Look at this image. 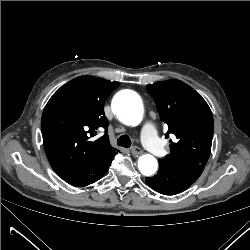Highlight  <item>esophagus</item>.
<instances>
[{
  "label": "esophagus",
  "instance_id": "esophagus-1",
  "mask_svg": "<svg viewBox=\"0 0 250 250\" xmlns=\"http://www.w3.org/2000/svg\"><path fill=\"white\" fill-rule=\"evenodd\" d=\"M131 153L135 156H139L142 154V150L141 148L137 147V146H134L132 149H131Z\"/></svg>",
  "mask_w": 250,
  "mask_h": 250
}]
</instances>
